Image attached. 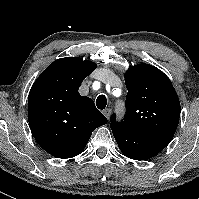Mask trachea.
Segmentation results:
<instances>
[{"label":"trachea","mask_w":199,"mask_h":199,"mask_svg":"<svg viewBox=\"0 0 199 199\" xmlns=\"http://www.w3.org/2000/svg\"><path fill=\"white\" fill-rule=\"evenodd\" d=\"M96 105L100 110L104 109L107 105L106 96L105 95H99L97 100H96Z\"/></svg>","instance_id":"obj_1"}]
</instances>
